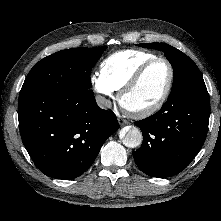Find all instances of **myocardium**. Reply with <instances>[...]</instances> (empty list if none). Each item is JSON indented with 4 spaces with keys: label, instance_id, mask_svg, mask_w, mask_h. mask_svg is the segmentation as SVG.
I'll use <instances>...</instances> for the list:
<instances>
[{
    "label": "myocardium",
    "instance_id": "obj_1",
    "mask_svg": "<svg viewBox=\"0 0 221 221\" xmlns=\"http://www.w3.org/2000/svg\"><path fill=\"white\" fill-rule=\"evenodd\" d=\"M158 62H164L165 64H167V66L169 68L168 83H167V86H166L164 92L162 93V95L159 97V99L155 103H153L152 105H150L148 107H145L142 109H135V110H131V109L126 108L123 105L124 97L132 89H134V87L139 83V81L144 76V74L147 72V70L152 65H154L155 63H158ZM174 79H175L174 67L168 59H166L164 57H155L153 59H150L147 62H145L144 64H142L134 72V74L130 77V79L119 90V94H118L119 104L127 113H129L130 115H132L134 117L142 118V117L150 116V115L156 113L158 110H160L162 108V106L165 104V102L167 101V99L172 91V88H173Z\"/></svg>",
    "mask_w": 221,
    "mask_h": 221
}]
</instances>
